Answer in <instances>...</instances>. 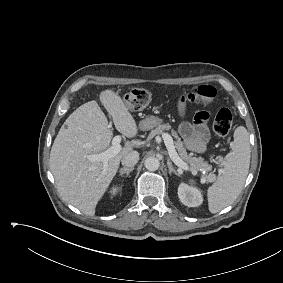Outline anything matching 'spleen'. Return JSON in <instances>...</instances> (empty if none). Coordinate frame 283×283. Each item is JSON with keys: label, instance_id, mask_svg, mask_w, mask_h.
Here are the masks:
<instances>
[{"label": "spleen", "instance_id": "3e777b00", "mask_svg": "<svg viewBox=\"0 0 283 283\" xmlns=\"http://www.w3.org/2000/svg\"><path fill=\"white\" fill-rule=\"evenodd\" d=\"M231 152L221 161L217 180L208 188V206L211 213H217L231 205L239 196L250 166L249 135L245 127L234 132Z\"/></svg>", "mask_w": 283, "mask_h": 283}]
</instances>
